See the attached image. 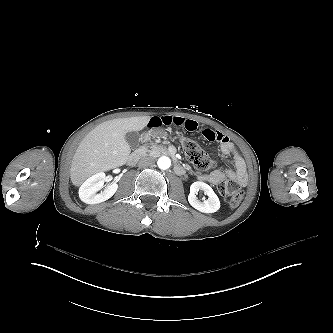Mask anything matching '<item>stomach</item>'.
Wrapping results in <instances>:
<instances>
[{
  "instance_id": "1",
  "label": "stomach",
  "mask_w": 333,
  "mask_h": 333,
  "mask_svg": "<svg viewBox=\"0 0 333 333\" xmlns=\"http://www.w3.org/2000/svg\"><path fill=\"white\" fill-rule=\"evenodd\" d=\"M164 135H166V133L163 129H150L147 132H144L142 137H143V141L147 142L154 137L164 136Z\"/></svg>"
}]
</instances>
